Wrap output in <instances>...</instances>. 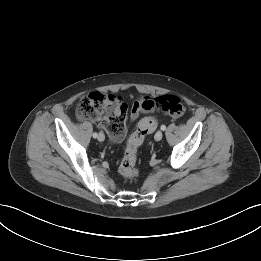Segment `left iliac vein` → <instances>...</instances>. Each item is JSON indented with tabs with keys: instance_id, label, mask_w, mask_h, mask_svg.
I'll return each instance as SVG.
<instances>
[{
	"instance_id": "1",
	"label": "left iliac vein",
	"mask_w": 261,
	"mask_h": 261,
	"mask_svg": "<svg viewBox=\"0 0 261 261\" xmlns=\"http://www.w3.org/2000/svg\"><path fill=\"white\" fill-rule=\"evenodd\" d=\"M162 137H163L162 132H161V131H157V132L155 133L154 139H155L156 141H160V140L162 139Z\"/></svg>"
}]
</instances>
